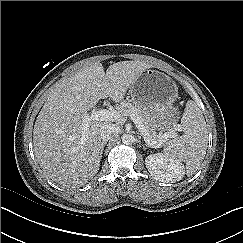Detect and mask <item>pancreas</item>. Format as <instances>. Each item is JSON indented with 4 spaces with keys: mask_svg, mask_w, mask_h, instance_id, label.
Masks as SVG:
<instances>
[{
    "mask_svg": "<svg viewBox=\"0 0 243 243\" xmlns=\"http://www.w3.org/2000/svg\"><path fill=\"white\" fill-rule=\"evenodd\" d=\"M119 111L126 117L130 116L131 112H135L142 121L148 137L154 141H159L161 139L160 136L157 135L153 121L147 111L140 109L133 103L127 101H123L120 103Z\"/></svg>",
    "mask_w": 243,
    "mask_h": 243,
    "instance_id": "cf45deb5",
    "label": "pancreas"
}]
</instances>
